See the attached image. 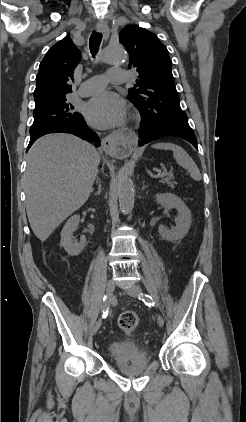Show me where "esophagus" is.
Instances as JSON below:
<instances>
[{
	"label": "esophagus",
	"instance_id": "34e87169",
	"mask_svg": "<svg viewBox=\"0 0 246 422\" xmlns=\"http://www.w3.org/2000/svg\"><path fill=\"white\" fill-rule=\"evenodd\" d=\"M96 31L103 34V38L107 40L109 38V28L105 24H98ZM123 142L117 137V135H109L102 139V148L105 153L109 155H116L120 146Z\"/></svg>",
	"mask_w": 246,
	"mask_h": 422
}]
</instances>
